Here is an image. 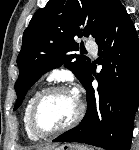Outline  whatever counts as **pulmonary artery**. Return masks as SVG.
Listing matches in <instances>:
<instances>
[{"instance_id": "1", "label": "pulmonary artery", "mask_w": 139, "mask_h": 150, "mask_svg": "<svg viewBox=\"0 0 139 150\" xmlns=\"http://www.w3.org/2000/svg\"><path fill=\"white\" fill-rule=\"evenodd\" d=\"M85 47L88 51H90L93 55L97 54L98 46L94 41H87Z\"/></svg>"}]
</instances>
